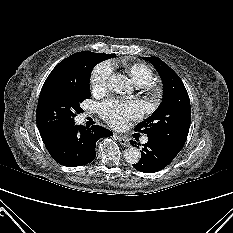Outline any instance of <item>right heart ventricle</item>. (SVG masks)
I'll return each mask as SVG.
<instances>
[{
    "label": "right heart ventricle",
    "mask_w": 233,
    "mask_h": 233,
    "mask_svg": "<svg viewBox=\"0 0 233 233\" xmlns=\"http://www.w3.org/2000/svg\"><path fill=\"white\" fill-rule=\"evenodd\" d=\"M125 69L133 82L139 87L148 84L153 78V71L143 63H133L127 65Z\"/></svg>",
    "instance_id": "obj_1"
}]
</instances>
